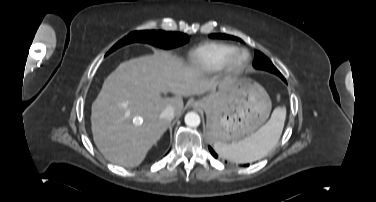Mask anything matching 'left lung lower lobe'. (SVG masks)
<instances>
[{"mask_svg": "<svg viewBox=\"0 0 376 202\" xmlns=\"http://www.w3.org/2000/svg\"><path fill=\"white\" fill-rule=\"evenodd\" d=\"M282 80L285 81L284 77L282 78ZM209 150H210L211 154H212L215 158H217V154L214 152V150H213L210 146H209ZM248 165H249V164L244 165V166H248Z\"/></svg>", "mask_w": 376, "mask_h": 202, "instance_id": "1", "label": "left lung lower lobe"}]
</instances>
